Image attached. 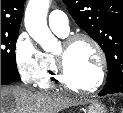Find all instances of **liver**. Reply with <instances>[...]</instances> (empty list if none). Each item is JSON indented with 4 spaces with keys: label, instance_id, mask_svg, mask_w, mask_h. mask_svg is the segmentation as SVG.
Returning <instances> with one entry per match:
<instances>
[{
    "label": "liver",
    "instance_id": "liver-1",
    "mask_svg": "<svg viewBox=\"0 0 123 113\" xmlns=\"http://www.w3.org/2000/svg\"><path fill=\"white\" fill-rule=\"evenodd\" d=\"M81 103L58 93L32 92L14 86L1 88V113H59Z\"/></svg>",
    "mask_w": 123,
    "mask_h": 113
}]
</instances>
